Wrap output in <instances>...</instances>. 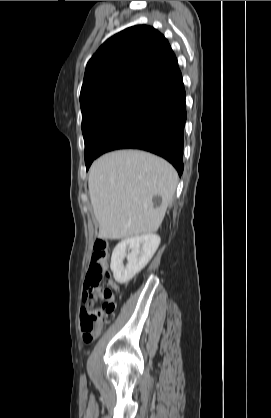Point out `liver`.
Wrapping results in <instances>:
<instances>
[{
	"label": "liver",
	"mask_w": 271,
	"mask_h": 418,
	"mask_svg": "<svg viewBox=\"0 0 271 418\" xmlns=\"http://www.w3.org/2000/svg\"><path fill=\"white\" fill-rule=\"evenodd\" d=\"M178 174L164 159L139 150L107 153L89 170V195L99 238L126 239L155 233L174 196ZM154 196L161 197L154 207Z\"/></svg>",
	"instance_id": "obj_1"
}]
</instances>
